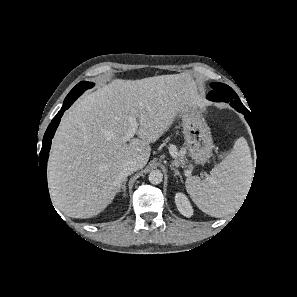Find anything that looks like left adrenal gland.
Wrapping results in <instances>:
<instances>
[{
    "label": "left adrenal gland",
    "instance_id": "a2214340",
    "mask_svg": "<svg viewBox=\"0 0 297 297\" xmlns=\"http://www.w3.org/2000/svg\"><path fill=\"white\" fill-rule=\"evenodd\" d=\"M170 168H171V170L174 171V176H179L180 179H181V181H183L182 175L179 173L178 169H176V168L174 167L173 164L170 165Z\"/></svg>",
    "mask_w": 297,
    "mask_h": 297
}]
</instances>
